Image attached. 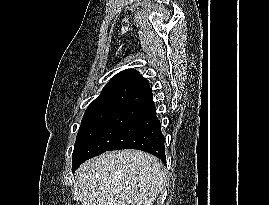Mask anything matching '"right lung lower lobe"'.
Listing matches in <instances>:
<instances>
[{
	"mask_svg": "<svg viewBox=\"0 0 269 205\" xmlns=\"http://www.w3.org/2000/svg\"><path fill=\"white\" fill-rule=\"evenodd\" d=\"M120 149L142 150L166 163L164 136L152 98L111 119L81 150L72 171L94 156Z\"/></svg>",
	"mask_w": 269,
	"mask_h": 205,
	"instance_id": "right-lung-lower-lobe-1",
	"label": "right lung lower lobe"
}]
</instances>
